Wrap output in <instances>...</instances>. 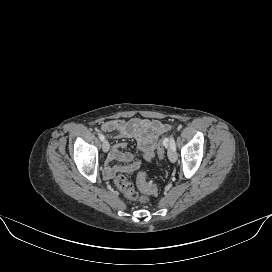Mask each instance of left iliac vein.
<instances>
[{"mask_svg":"<svg viewBox=\"0 0 272 272\" xmlns=\"http://www.w3.org/2000/svg\"><path fill=\"white\" fill-rule=\"evenodd\" d=\"M168 158L171 162H176L177 154L171 147L168 149Z\"/></svg>","mask_w":272,"mask_h":272,"instance_id":"4c4485c4","label":"left iliac vein"}]
</instances>
